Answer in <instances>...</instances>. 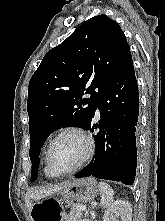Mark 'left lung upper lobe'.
Returning <instances> with one entry per match:
<instances>
[{
	"label": "left lung upper lobe",
	"mask_w": 165,
	"mask_h": 221,
	"mask_svg": "<svg viewBox=\"0 0 165 221\" xmlns=\"http://www.w3.org/2000/svg\"><path fill=\"white\" fill-rule=\"evenodd\" d=\"M130 56L119 24L106 15L88 19L46 53L28 90L31 182L50 133L69 124L86 128L104 88Z\"/></svg>",
	"instance_id": "left-lung-upper-lobe-1"
}]
</instances>
